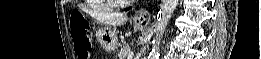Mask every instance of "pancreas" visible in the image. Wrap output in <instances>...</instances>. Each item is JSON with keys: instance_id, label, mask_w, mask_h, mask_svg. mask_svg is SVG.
<instances>
[{"instance_id": "cf45deb5", "label": "pancreas", "mask_w": 261, "mask_h": 59, "mask_svg": "<svg viewBox=\"0 0 261 59\" xmlns=\"http://www.w3.org/2000/svg\"><path fill=\"white\" fill-rule=\"evenodd\" d=\"M131 52V47L129 45H125L118 53L119 59H126L128 54Z\"/></svg>"}]
</instances>
